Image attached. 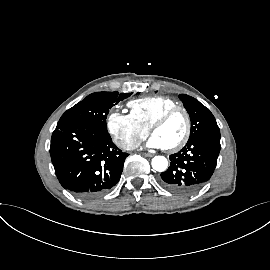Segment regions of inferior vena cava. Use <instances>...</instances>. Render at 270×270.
I'll return each mask as SVG.
<instances>
[{
    "mask_svg": "<svg viewBox=\"0 0 270 270\" xmlns=\"http://www.w3.org/2000/svg\"><path fill=\"white\" fill-rule=\"evenodd\" d=\"M121 147L125 150H133L136 148V145L134 143H123Z\"/></svg>",
    "mask_w": 270,
    "mask_h": 270,
    "instance_id": "inferior-vena-cava-1",
    "label": "inferior vena cava"
}]
</instances>
